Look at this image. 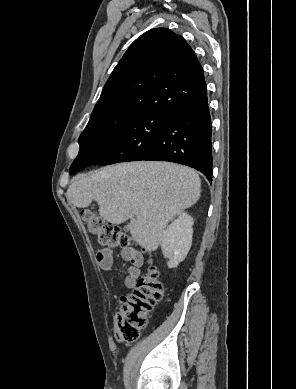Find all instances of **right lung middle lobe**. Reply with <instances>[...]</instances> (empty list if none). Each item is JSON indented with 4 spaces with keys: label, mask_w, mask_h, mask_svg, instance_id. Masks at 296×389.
I'll use <instances>...</instances> for the list:
<instances>
[{
    "label": "right lung middle lobe",
    "mask_w": 296,
    "mask_h": 389,
    "mask_svg": "<svg viewBox=\"0 0 296 389\" xmlns=\"http://www.w3.org/2000/svg\"><path fill=\"white\" fill-rule=\"evenodd\" d=\"M171 117L158 113L116 111L91 118L79 137V154L71 165H107L135 161L167 127Z\"/></svg>",
    "instance_id": "right-lung-middle-lobe-1"
}]
</instances>
